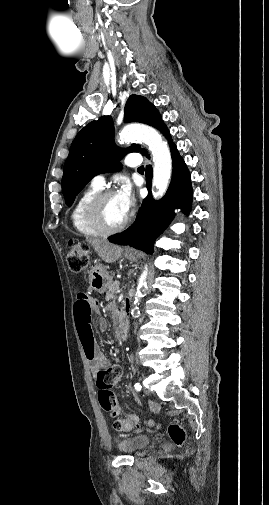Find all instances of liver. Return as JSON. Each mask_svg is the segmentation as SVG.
I'll list each match as a JSON object with an SVG mask.
<instances>
[{"label":"liver","mask_w":269,"mask_h":505,"mask_svg":"<svg viewBox=\"0 0 269 505\" xmlns=\"http://www.w3.org/2000/svg\"><path fill=\"white\" fill-rule=\"evenodd\" d=\"M87 242L93 246L99 257L106 263L116 262L122 255L123 249L101 239H87Z\"/></svg>","instance_id":"liver-1"}]
</instances>
